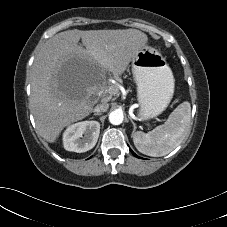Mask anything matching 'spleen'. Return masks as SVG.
<instances>
[{"instance_id":"obj_1","label":"spleen","mask_w":227,"mask_h":227,"mask_svg":"<svg viewBox=\"0 0 227 227\" xmlns=\"http://www.w3.org/2000/svg\"><path fill=\"white\" fill-rule=\"evenodd\" d=\"M191 106L185 101L169 115L166 122L152 131L132 133L136 149L142 154L161 157L174 150L190 129Z\"/></svg>"}]
</instances>
